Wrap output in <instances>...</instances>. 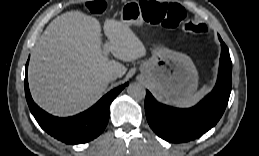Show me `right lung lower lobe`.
Segmentation results:
<instances>
[{
	"mask_svg": "<svg viewBox=\"0 0 259 156\" xmlns=\"http://www.w3.org/2000/svg\"><path fill=\"white\" fill-rule=\"evenodd\" d=\"M27 67L28 62L26 64L25 95L31 113L43 130L67 144L85 143L99 136L108 123L111 102L127 85L126 83L110 91L93 107L81 114L58 118L46 113L34 103L28 86Z\"/></svg>",
	"mask_w": 259,
	"mask_h": 156,
	"instance_id": "obj_1",
	"label": "right lung lower lobe"
}]
</instances>
